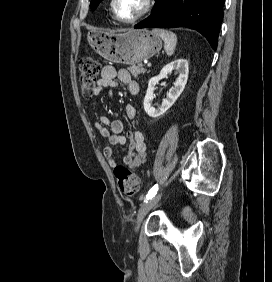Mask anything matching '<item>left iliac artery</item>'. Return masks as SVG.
Returning <instances> with one entry per match:
<instances>
[{
	"label": "left iliac artery",
	"mask_w": 272,
	"mask_h": 282,
	"mask_svg": "<svg viewBox=\"0 0 272 282\" xmlns=\"http://www.w3.org/2000/svg\"><path fill=\"white\" fill-rule=\"evenodd\" d=\"M158 191V185H154L148 192V194L146 195V199L145 202H147L148 200L152 199L156 193Z\"/></svg>",
	"instance_id": "1"
}]
</instances>
